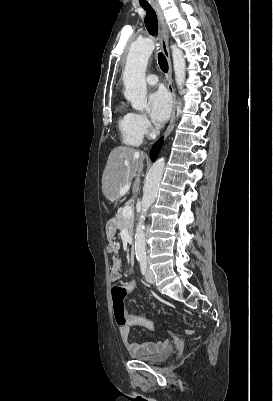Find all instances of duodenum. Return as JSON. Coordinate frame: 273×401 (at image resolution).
Returning a JSON list of instances; mask_svg holds the SVG:
<instances>
[{
  "label": "duodenum",
  "instance_id": "1",
  "mask_svg": "<svg viewBox=\"0 0 273 401\" xmlns=\"http://www.w3.org/2000/svg\"><path fill=\"white\" fill-rule=\"evenodd\" d=\"M129 259L133 263L135 261V248L132 246L129 250Z\"/></svg>",
  "mask_w": 273,
  "mask_h": 401
}]
</instances>
